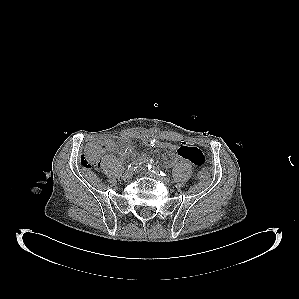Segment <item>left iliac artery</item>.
<instances>
[{"label": "left iliac artery", "mask_w": 299, "mask_h": 299, "mask_svg": "<svg viewBox=\"0 0 299 299\" xmlns=\"http://www.w3.org/2000/svg\"><path fill=\"white\" fill-rule=\"evenodd\" d=\"M147 168H148V170H149L151 173H154V174L159 175V176H166V174H165L163 171H161V170H159V169L153 167V166L150 165V164L147 165Z\"/></svg>", "instance_id": "left-iliac-artery-1"}]
</instances>
